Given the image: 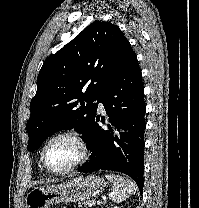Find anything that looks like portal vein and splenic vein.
<instances>
[{
    "label": "portal vein and splenic vein",
    "instance_id": "obj_1",
    "mask_svg": "<svg viewBox=\"0 0 199 208\" xmlns=\"http://www.w3.org/2000/svg\"><path fill=\"white\" fill-rule=\"evenodd\" d=\"M97 204L100 205V204H102V202L101 201H97Z\"/></svg>",
    "mask_w": 199,
    "mask_h": 208
}]
</instances>
